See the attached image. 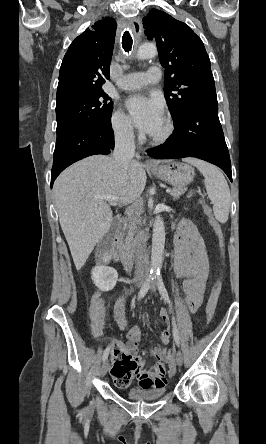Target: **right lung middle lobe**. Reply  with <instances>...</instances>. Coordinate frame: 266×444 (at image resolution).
I'll list each match as a JSON object with an SVG mask.
<instances>
[{
  "mask_svg": "<svg viewBox=\"0 0 266 444\" xmlns=\"http://www.w3.org/2000/svg\"><path fill=\"white\" fill-rule=\"evenodd\" d=\"M109 100L111 98L102 89L75 92L58 98L56 144L77 131L110 124L113 102Z\"/></svg>",
  "mask_w": 266,
  "mask_h": 444,
  "instance_id": "right-lung-middle-lobe-1",
  "label": "right lung middle lobe"
}]
</instances>
